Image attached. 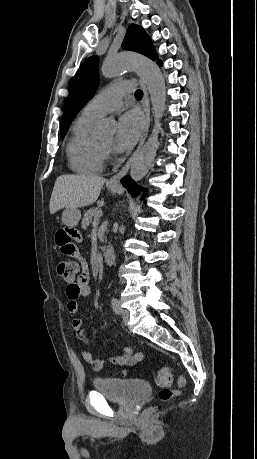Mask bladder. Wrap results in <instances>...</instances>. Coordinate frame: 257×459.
Returning <instances> with one entry per match:
<instances>
[{"label":"bladder","instance_id":"1","mask_svg":"<svg viewBox=\"0 0 257 459\" xmlns=\"http://www.w3.org/2000/svg\"><path fill=\"white\" fill-rule=\"evenodd\" d=\"M93 387L106 398L125 405L136 403L151 392L150 386L139 379L95 377Z\"/></svg>","mask_w":257,"mask_h":459}]
</instances>
